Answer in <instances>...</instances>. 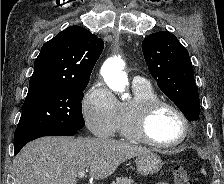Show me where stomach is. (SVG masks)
<instances>
[{
  "mask_svg": "<svg viewBox=\"0 0 224 184\" xmlns=\"http://www.w3.org/2000/svg\"><path fill=\"white\" fill-rule=\"evenodd\" d=\"M163 165L159 155L149 152L139 155L136 158L137 170L142 175H152L157 173Z\"/></svg>",
  "mask_w": 224,
  "mask_h": 184,
  "instance_id": "obj_1",
  "label": "stomach"
}]
</instances>
